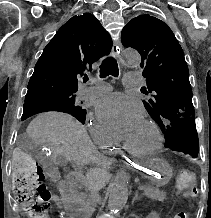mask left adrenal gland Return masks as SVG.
Segmentation results:
<instances>
[{
  "label": "left adrenal gland",
  "mask_w": 211,
  "mask_h": 218,
  "mask_svg": "<svg viewBox=\"0 0 211 218\" xmlns=\"http://www.w3.org/2000/svg\"><path fill=\"white\" fill-rule=\"evenodd\" d=\"M135 200H140L138 192H135V196L132 200V204H134Z\"/></svg>",
  "instance_id": "left-adrenal-gland-1"
}]
</instances>
